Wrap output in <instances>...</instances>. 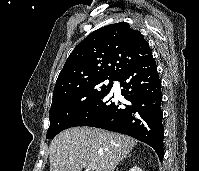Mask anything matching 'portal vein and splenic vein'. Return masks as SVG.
<instances>
[{"label":"portal vein and splenic vein","instance_id":"18ae733b","mask_svg":"<svg viewBox=\"0 0 199 171\" xmlns=\"http://www.w3.org/2000/svg\"><path fill=\"white\" fill-rule=\"evenodd\" d=\"M89 167H90V168H94V165H93V164H90Z\"/></svg>","mask_w":199,"mask_h":171}]
</instances>
